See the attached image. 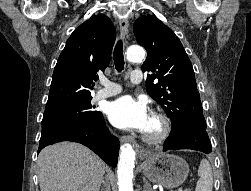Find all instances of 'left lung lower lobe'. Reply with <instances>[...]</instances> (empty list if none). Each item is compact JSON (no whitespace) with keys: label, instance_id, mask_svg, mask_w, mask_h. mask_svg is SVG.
I'll return each mask as SVG.
<instances>
[{"label":"left lung lower lobe","instance_id":"1","mask_svg":"<svg viewBox=\"0 0 251 191\" xmlns=\"http://www.w3.org/2000/svg\"><path fill=\"white\" fill-rule=\"evenodd\" d=\"M178 149H192L206 154L211 153V142L206 132V127L189 125L174 133H170L164 143L163 151Z\"/></svg>","mask_w":251,"mask_h":191}]
</instances>
